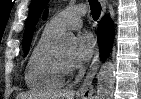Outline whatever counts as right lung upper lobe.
<instances>
[{
	"label": "right lung upper lobe",
	"instance_id": "cb5924a9",
	"mask_svg": "<svg viewBox=\"0 0 141 99\" xmlns=\"http://www.w3.org/2000/svg\"><path fill=\"white\" fill-rule=\"evenodd\" d=\"M46 15H47V13H45V15H44V19L46 18Z\"/></svg>",
	"mask_w": 141,
	"mask_h": 99
}]
</instances>
